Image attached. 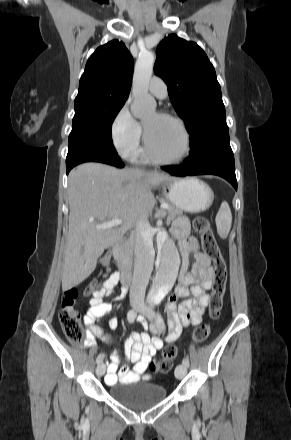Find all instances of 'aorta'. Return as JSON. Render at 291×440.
I'll use <instances>...</instances> for the list:
<instances>
[{
    "instance_id": "1",
    "label": "aorta",
    "mask_w": 291,
    "mask_h": 440,
    "mask_svg": "<svg viewBox=\"0 0 291 440\" xmlns=\"http://www.w3.org/2000/svg\"><path fill=\"white\" fill-rule=\"evenodd\" d=\"M155 55L150 51L140 52L135 64L133 76V103L131 112L136 118H143L156 109L155 99L148 93L153 73ZM159 259L158 268L150 293L151 302H159L172 288L179 264V254L173 240L161 235L157 240Z\"/></svg>"
}]
</instances>
